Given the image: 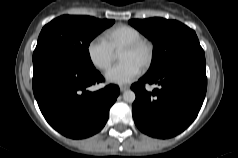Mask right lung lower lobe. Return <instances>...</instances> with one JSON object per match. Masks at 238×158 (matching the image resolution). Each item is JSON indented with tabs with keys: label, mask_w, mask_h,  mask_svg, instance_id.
<instances>
[{
	"label": "right lung lower lobe",
	"mask_w": 238,
	"mask_h": 158,
	"mask_svg": "<svg viewBox=\"0 0 238 158\" xmlns=\"http://www.w3.org/2000/svg\"><path fill=\"white\" fill-rule=\"evenodd\" d=\"M33 92L47 122L62 135L81 139L99 132L120 90L108 85L96 92L87 88L104 81L96 69H84L53 53L33 59Z\"/></svg>",
	"instance_id": "1"
}]
</instances>
